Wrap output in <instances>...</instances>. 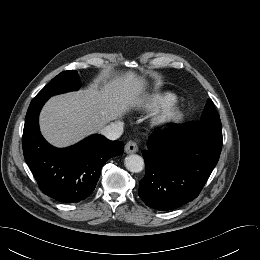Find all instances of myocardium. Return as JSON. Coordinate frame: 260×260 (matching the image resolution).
Here are the masks:
<instances>
[{
	"mask_svg": "<svg viewBox=\"0 0 260 260\" xmlns=\"http://www.w3.org/2000/svg\"><path fill=\"white\" fill-rule=\"evenodd\" d=\"M179 109L175 103H170L162 108V110L154 118V122L158 125L169 123L177 118Z\"/></svg>",
	"mask_w": 260,
	"mask_h": 260,
	"instance_id": "f54148a6",
	"label": "myocardium"
}]
</instances>
